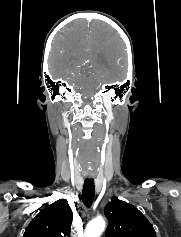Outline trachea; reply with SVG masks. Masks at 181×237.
Wrapping results in <instances>:
<instances>
[{"mask_svg": "<svg viewBox=\"0 0 181 237\" xmlns=\"http://www.w3.org/2000/svg\"><path fill=\"white\" fill-rule=\"evenodd\" d=\"M94 193V179H85L82 190V201L87 207L91 206L94 199Z\"/></svg>", "mask_w": 181, "mask_h": 237, "instance_id": "obj_1", "label": "trachea"}]
</instances>
